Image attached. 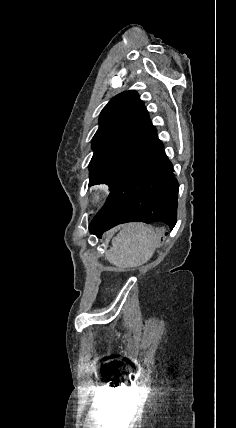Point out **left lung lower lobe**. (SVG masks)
Masks as SVG:
<instances>
[{
    "mask_svg": "<svg viewBox=\"0 0 236 428\" xmlns=\"http://www.w3.org/2000/svg\"><path fill=\"white\" fill-rule=\"evenodd\" d=\"M178 189L173 165L154 128L92 219L90 233L101 238L104 231L127 222H160L172 229L177 219Z\"/></svg>",
    "mask_w": 236,
    "mask_h": 428,
    "instance_id": "obj_1",
    "label": "left lung lower lobe"
}]
</instances>
